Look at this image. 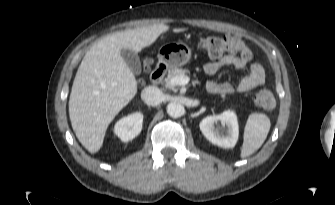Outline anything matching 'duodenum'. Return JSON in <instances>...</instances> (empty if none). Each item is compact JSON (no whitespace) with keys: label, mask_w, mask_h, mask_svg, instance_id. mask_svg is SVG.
I'll return each mask as SVG.
<instances>
[{"label":"duodenum","mask_w":335,"mask_h":205,"mask_svg":"<svg viewBox=\"0 0 335 205\" xmlns=\"http://www.w3.org/2000/svg\"><path fill=\"white\" fill-rule=\"evenodd\" d=\"M167 71V66L164 62H158L152 71L150 78L154 84H158L164 77Z\"/></svg>","instance_id":"duodenum-1"}]
</instances>
